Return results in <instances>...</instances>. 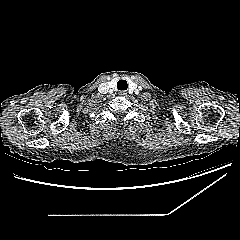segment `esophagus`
Segmentation results:
<instances>
[{"label": "esophagus", "mask_w": 240, "mask_h": 240, "mask_svg": "<svg viewBox=\"0 0 240 240\" xmlns=\"http://www.w3.org/2000/svg\"><path fill=\"white\" fill-rule=\"evenodd\" d=\"M125 94H126V93H124V92H121V93H120V95H125Z\"/></svg>", "instance_id": "1"}]
</instances>
